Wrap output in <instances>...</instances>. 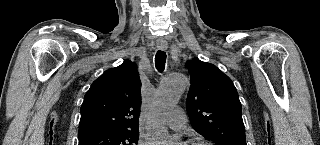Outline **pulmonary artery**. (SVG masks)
I'll return each mask as SVG.
<instances>
[{
	"instance_id": "pulmonary-artery-1",
	"label": "pulmonary artery",
	"mask_w": 320,
	"mask_h": 145,
	"mask_svg": "<svg viewBox=\"0 0 320 145\" xmlns=\"http://www.w3.org/2000/svg\"><path fill=\"white\" fill-rule=\"evenodd\" d=\"M167 125L173 130H181L186 126V115L181 108H176L166 119Z\"/></svg>"
}]
</instances>
